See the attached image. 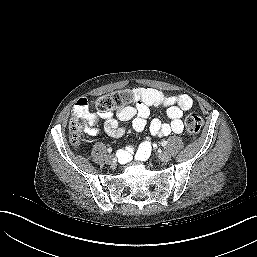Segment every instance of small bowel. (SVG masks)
<instances>
[{
  "label": "small bowel",
  "instance_id": "small-bowel-1",
  "mask_svg": "<svg viewBox=\"0 0 257 257\" xmlns=\"http://www.w3.org/2000/svg\"><path fill=\"white\" fill-rule=\"evenodd\" d=\"M137 100L135 105L127 106L119 110L116 114L89 112L90 124L101 119L104 122L105 132L112 137H119L123 134L124 129L120 126L123 122H132V127L136 132L144 130L147 119L150 114V108H165L168 122H162L160 119H153L149 125L150 134L154 137H166L170 134H180L183 129L182 117L185 111L193 105V100L186 94L166 95L154 88H136ZM98 129L89 128L87 133L97 135ZM121 153L120 161L125 162L133 153V149L128 147L119 151ZM151 152V144L144 141L136 150L135 157L137 160H146Z\"/></svg>",
  "mask_w": 257,
  "mask_h": 257
}]
</instances>
